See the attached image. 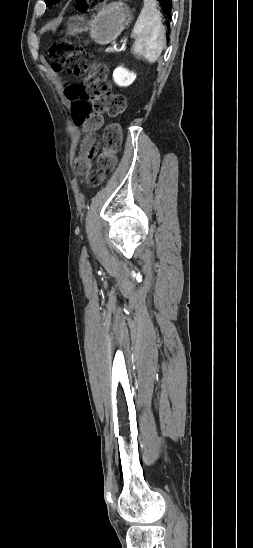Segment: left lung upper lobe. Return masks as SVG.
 Wrapping results in <instances>:
<instances>
[{"mask_svg":"<svg viewBox=\"0 0 253 548\" xmlns=\"http://www.w3.org/2000/svg\"><path fill=\"white\" fill-rule=\"evenodd\" d=\"M57 2H59V0H45V3L48 7L56 4Z\"/></svg>","mask_w":253,"mask_h":548,"instance_id":"left-lung-upper-lobe-1","label":"left lung upper lobe"}]
</instances>
